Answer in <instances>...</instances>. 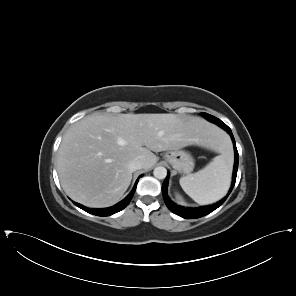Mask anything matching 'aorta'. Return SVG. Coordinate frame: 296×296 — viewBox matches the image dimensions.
I'll list each match as a JSON object with an SVG mask.
<instances>
[{"label": "aorta", "mask_w": 296, "mask_h": 296, "mask_svg": "<svg viewBox=\"0 0 296 296\" xmlns=\"http://www.w3.org/2000/svg\"><path fill=\"white\" fill-rule=\"evenodd\" d=\"M153 174L157 179H164L167 175V170L165 167L159 166L154 169Z\"/></svg>", "instance_id": "762f6f07"}]
</instances>
